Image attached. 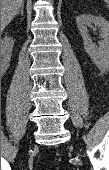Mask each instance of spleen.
Wrapping results in <instances>:
<instances>
[{
    "label": "spleen",
    "mask_w": 109,
    "mask_h": 170,
    "mask_svg": "<svg viewBox=\"0 0 109 170\" xmlns=\"http://www.w3.org/2000/svg\"><path fill=\"white\" fill-rule=\"evenodd\" d=\"M106 3L109 2V0H104Z\"/></svg>",
    "instance_id": "1"
}]
</instances>
